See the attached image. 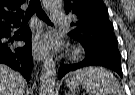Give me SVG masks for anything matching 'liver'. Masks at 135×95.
Returning a JSON list of instances; mask_svg holds the SVG:
<instances>
[{
  "label": "liver",
  "mask_w": 135,
  "mask_h": 95,
  "mask_svg": "<svg viewBox=\"0 0 135 95\" xmlns=\"http://www.w3.org/2000/svg\"><path fill=\"white\" fill-rule=\"evenodd\" d=\"M25 84L19 72L0 64V95H23Z\"/></svg>",
  "instance_id": "obj_1"
}]
</instances>
